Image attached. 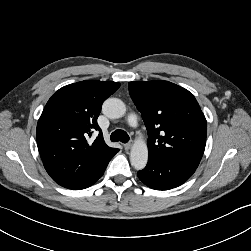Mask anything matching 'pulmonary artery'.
<instances>
[{
	"mask_svg": "<svg viewBox=\"0 0 251 251\" xmlns=\"http://www.w3.org/2000/svg\"><path fill=\"white\" fill-rule=\"evenodd\" d=\"M128 121L132 126H135L137 124V118L135 115H130Z\"/></svg>",
	"mask_w": 251,
	"mask_h": 251,
	"instance_id": "e3ab8cb5",
	"label": "pulmonary artery"
}]
</instances>
